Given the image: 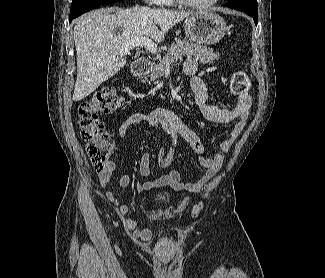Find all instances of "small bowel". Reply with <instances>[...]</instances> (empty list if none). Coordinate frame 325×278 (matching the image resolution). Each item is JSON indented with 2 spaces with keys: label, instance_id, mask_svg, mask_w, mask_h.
Instances as JSON below:
<instances>
[{
  "label": "small bowel",
  "instance_id": "obj_1",
  "mask_svg": "<svg viewBox=\"0 0 325 278\" xmlns=\"http://www.w3.org/2000/svg\"><path fill=\"white\" fill-rule=\"evenodd\" d=\"M184 70L186 75L190 77V85L194 93L195 103L205 119L213 123H228L235 119L238 120L229 136L220 145L222 152H228L245 127L248 112L252 105L250 93L246 90L238 94L237 102L232 108H223L209 104L207 102L208 93L206 85L198 75L197 60L193 57L187 58ZM143 122L148 123L170 137L172 139V147L167 151L164 147H161L155 159L156 167L159 170H167V172L152 180L137 182L135 185L136 190L142 192L157 186H169L175 189L192 191L205 188L220 169L224 160L223 154L218 153L213 157L204 156L205 147L197 133L188 127L175 112L165 108H156L147 112H136L129 115L120 123L118 128L121 140L123 142L126 141V133L131 126ZM180 139L186 142L199 155V165L204 169L202 177L195 182L183 183L179 173L171 166L174 150ZM150 163V154L144 153L139 162V172L142 176L150 177ZM115 173V163L108 160L106 168L98 173L101 185L103 187L108 186ZM118 183L122 187L129 186L131 183L130 175L126 172L120 174L118 176ZM106 196L110 201L115 202L113 192L107 191ZM120 210L124 211L125 207L121 205Z\"/></svg>",
  "mask_w": 325,
  "mask_h": 278
}]
</instances>
